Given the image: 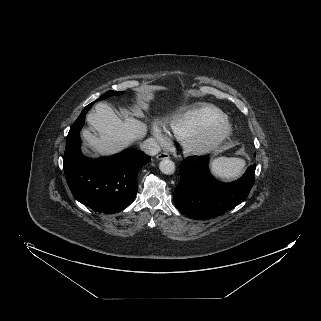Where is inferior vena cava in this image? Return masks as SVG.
I'll list each match as a JSON object with an SVG mask.
<instances>
[{
  "instance_id": "1",
  "label": "inferior vena cava",
  "mask_w": 321,
  "mask_h": 321,
  "mask_svg": "<svg viewBox=\"0 0 321 321\" xmlns=\"http://www.w3.org/2000/svg\"><path fill=\"white\" fill-rule=\"evenodd\" d=\"M140 148L142 151H144L147 155H150V156H155L161 150L158 143L152 138H149L143 141L140 144Z\"/></svg>"
}]
</instances>
